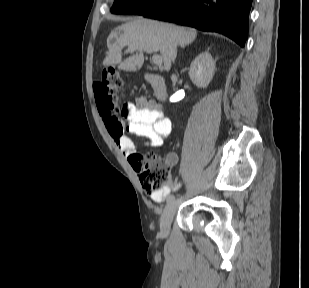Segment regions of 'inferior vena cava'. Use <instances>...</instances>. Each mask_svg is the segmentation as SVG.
<instances>
[{
	"label": "inferior vena cava",
	"instance_id": "1",
	"mask_svg": "<svg viewBox=\"0 0 309 288\" xmlns=\"http://www.w3.org/2000/svg\"><path fill=\"white\" fill-rule=\"evenodd\" d=\"M175 56H176V50H174L173 52V61H174Z\"/></svg>",
	"mask_w": 309,
	"mask_h": 288
}]
</instances>
